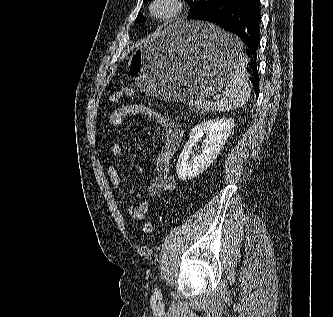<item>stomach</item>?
<instances>
[{
	"instance_id": "stomach-1",
	"label": "stomach",
	"mask_w": 333,
	"mask_h": 317,
	"mask_svg": "<svg viewBox=\"0 0 333 317\" xmlns=\"http://www.w3.org/2000/svg\"><path fill=\"white\" fill-rule=\"evenodd\" d=\"M245 45L221 24L193 21L165 27L130 56L128 71L144 94L161 100H203L227 88L248 62Z\"/></svg>"
}]
</instances>
